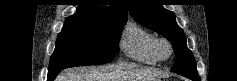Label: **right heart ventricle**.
Returning a JSON list of instances; mask_svg holds the SVG:
<instances>
[{
    "label": "right heart ventricle",
    "instance_id": "right-heart-ventricle-1",
    "mask_svg": "<svg viewBox=\"0 0 237 81\" xmlns=\"http://www.w3.org/2000/svg\"><path fill=\"white\" fill-rule=\"evenodd\" d=\"M155 36L136 24H130L120 41L125 56L145 65H156L158 59L154 53Z\"/></svg>",
    "mask_w": 237,
    "mask_h": 81
}]
</instances>
